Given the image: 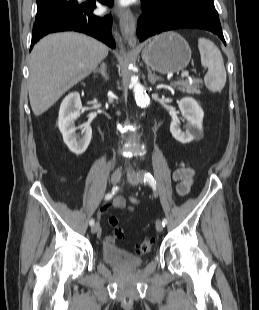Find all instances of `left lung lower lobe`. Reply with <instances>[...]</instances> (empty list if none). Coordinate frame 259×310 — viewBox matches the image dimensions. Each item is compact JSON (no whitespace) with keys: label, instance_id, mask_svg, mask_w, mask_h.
<instances>
[{"label":"left lung lower lobe","instance_id":"0a47b994","mask_svg":"<svg viewBox=\"0 0 259 310\" xmlns=\"http://www.w3.org/2000/svg\"><path fill=\"white\" fill-rule=\"evenodd\" d=\"M141 5L143 14L136 31L139 41L173 29L199 28L213 32L226 44L214 5L196 3L171 10L159 9L149 0H141Z\"/></svg>","mask_w":259,"mask_h":310}]
</instances>
